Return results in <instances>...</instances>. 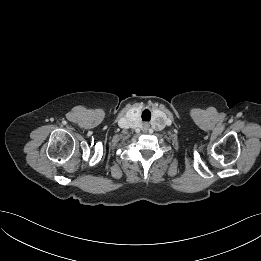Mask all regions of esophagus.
<instances>
[{
  "mask_svg": "<svg viewBox=\"0 0 261 261\" xmlns=\"http://www.w3.org/2000/svg\"><path fill=\"white\" fill-rule=\"evenodd\" d=\"M144 127L147 129L148 128V124H145Z\"/></svg>",
  "mask_w": 261,
  "mask_h": 261,
  "instance_id": "esophagus-1",
  "label": "esophagus"
}]
</instances>
